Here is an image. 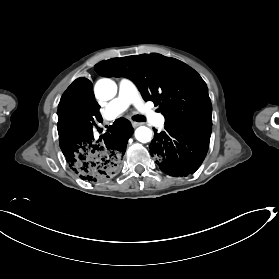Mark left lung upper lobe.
I'll use <instances>...</instances> for the list:
<instances>
[{"instance_id": "left-lung-upper-lobe-1", "label": "left lung upper lobe", "mask_w": 279, "mask_h": 279, "mask_svg": "<svg viewBox=\"0 0 279 279\" xmlns=\"http://www.w3.org/2000/svg\"><path fill=\"white\" fill-rule=\"evenodd\" d=\"M104 77H126L146 101L159 106L165 124L178 128H212V105L200 75L180 60L157 53L113 58L95 65Z\"/></svg>"}]
</instances>
